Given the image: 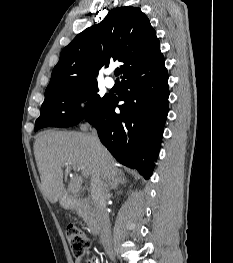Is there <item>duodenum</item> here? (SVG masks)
Masks as SVG:
<instances>
[{"label":"duodenum","instance_id":"410a0bca","mask_svg":"<svg viewBox=\"0 0 233 263\" xmlns=\"http://www.w3.org/2000/svg\"><path fill=\"white\" fill-rule=\"evenodd\" d=\"M63 201L65 206L69 209H78L84 206V202L78 198L69 196L67 194L63 195ZM89 229L94 236H98L101 231V225L94 213L88 214Z\"/></svg>","mask_w":233,"mask_h":263}]
</instances>
